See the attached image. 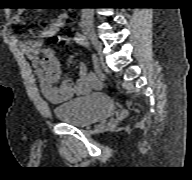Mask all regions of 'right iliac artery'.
<instances>
[{
    "instance_id": "obj_1",
    "label": "right iliac artery",
    "mask_w": 192,
    "mask_h": 180,
    "mask_svg": "<svg viewBox=\"0 0 192 180\" xmlns=\"http://www.w3.org/2000/svg\"><path fill=\"white\" fill-rule=\"evenodd\" d=\"M74 40H75L78 44H80V45H82V46H84V47H88V46H89V42H88L86 36H85L84 34L80 33V32H77V33L75 34Z\"/></svg>"
}]
</instances>
